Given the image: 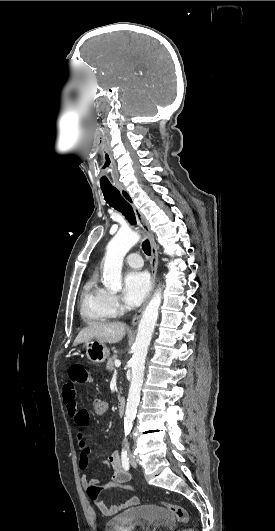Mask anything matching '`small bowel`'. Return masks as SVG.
<instances>
[{
  "label": "small bowel",
  "mask_w": 275,
  "mask_h": 531,
  "mask_svg": "<svg viewBox=\"0 0 275 531\" xmlns=\"http://www.w3.org/2000/svg\"><path fill=\"white\" fill-rule=\"evenodd\" d=\"M66 370L70 374L69 382L71 384L65 386L63 390V399L67 407V412L72 418L77 428L79 446L81 449L78 459V465L79 468L84 471L89 468L91 463V449L87 445L84 437V428L87 427L89 424V415L85 409L79 408L76 397V390L73 384H89L92 382L93 377L90 374V370L88 368H77V366L73 363L68 364ZM98 464L108 467L111 470L112 478H117V480L125 481L126 483L131 480L130 472L122 466L120 454L118 451H112L106 458L99 459ZM82 483L86 487H88L90 484L85 475H83L82 477ZM139 503L140 500L136 496L130 497L127 501L119 504L108 505L100 499H97L94 502L96 508L100 511L102 515L106 517L114 516L121 510L126 509L128 507L137 506L139 505Z\"/></svg>",
  "instance_id": "c3829d8e"
}]
</instances>
